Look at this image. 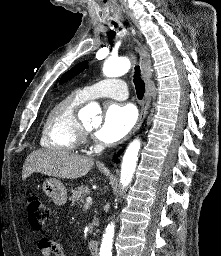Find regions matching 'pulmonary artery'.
<instances>
[{"label":"pulmonary artery","mask_w":221,"mask_h":256,"mask_svg":"<svg viewBox=\"0 0 221 256\" xmlns=\"http://www.w3.org/2000/svg\"><path fill=\"white\" fill-rule=\"evenodd\" d=\"M80 92L87 100L102 97L124 100L128 96L126 83L122 79L117 78L99 81L84 87Z\"/></svg>","instance_id":"obj_1"}]
</instances>
